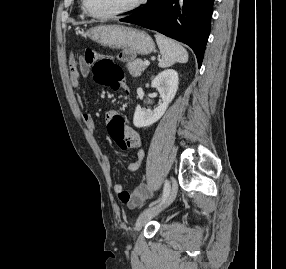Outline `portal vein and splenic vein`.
I'll return each mask as SVG.
<instances>
[{
    "instance_id": "1",
    "label": "portal vein and splenic vein",
    "mask_w": 286,
    "mask_h": 269,
    "mask_svg": "<svg viewBox=\"0 0 286 269\" xmlns=\"http://www.w3.org/2000/svg\"><path fill=\"white\" fill-rule=\"evenodd\" d=\"M144 64H145L146 66H149L150 62L146 60V61H144Z\"/></svg>"
}]
</instances>
